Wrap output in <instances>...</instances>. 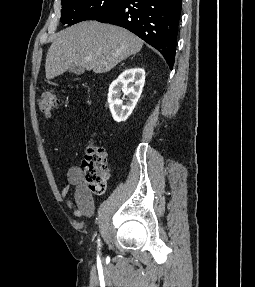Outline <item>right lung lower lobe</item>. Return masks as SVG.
<instances>
[{"label": "right lung lower lobe", "instance_id": "obj_1", "mask_svg": "<svg viewBox=\"0 0 255 287\" xmlns=\"http://www.w3.org/2000/svg\"><path fill=\"white\" fill-rule=\"evenodd\" d=\"M182 0H124L95 20L124 27L156 48L173 68Z\"/></svg>", "mask_w": 255, "mask_h": 287}]
</instances>
